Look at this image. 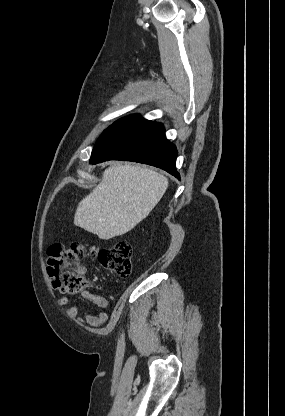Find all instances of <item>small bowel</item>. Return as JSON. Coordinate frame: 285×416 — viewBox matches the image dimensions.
<instances>
[{
  "label": "small bowel",
  "instance_id": "small-bowel-1",
  "mask_svg": "<svg viewBox=\"0 0 285 416\" xmlns=\"http://www.w3.org/2000/svg\"><path fill=\"white\" fill-rule=\"evenodd\" d=\"M80 295L83 299L92 302L101 309H107L109 307V301L106 297L99 294H95L86 288L80 291ZM59 304L64 306L68 305L69 299L67 297H63L59 300ZM65 312L77 323L81 325L88 324L95 328L104 325L108 319V315L104 311H100L97 314H91L83 310V308L79 305L66 307Z\"/></svg>",
  "mask_w": 285,
  "mask_h": 416
}]
</instances>
